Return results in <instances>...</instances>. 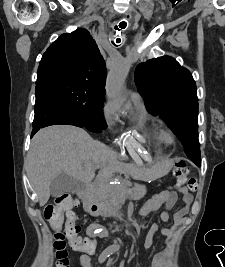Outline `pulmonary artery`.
<instances>
[{
    "label": "pulmonary artery",
    "instance_id": "e3ab8cb5",
    "mask_svg": "<svg viewBox=\"0 0 225 267\" xmlns=\"http://www.w3.org/2000/svg\"><path fill=\"white\" fill-rule=\"evenodd\" d=\"M131 97H132V99H140L139 94L136 92H132Z\"/></svg>",
    "mask_w": 225,
    "mask_h": 267
}]
</instances>
